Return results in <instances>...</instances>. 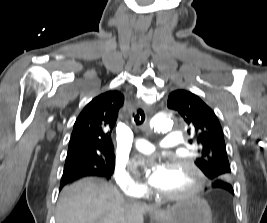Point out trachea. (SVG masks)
Listing matches in <instances>:
<instances>
[{
	"label": "trachea",
	"mask_w": 267,
	"mask_h": 223,
	"mask_svg": "<svg viewBox=\"0 0 267 223\" xmlns=\"http://www.w3.org/2000/svg\"><path fill=\"white\" fill-rule=\"evenodd\" d=\"M136 125H142L145 121V113L142 109H138L136 114H133Z\"/></svg>",
	"instance_id": "1"
}]
</instances>
